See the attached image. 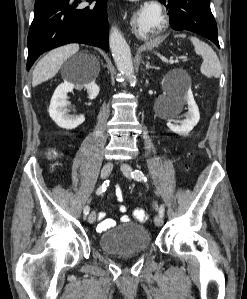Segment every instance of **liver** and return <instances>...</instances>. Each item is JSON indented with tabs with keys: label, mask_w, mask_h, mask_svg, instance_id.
Instances as JSON below:
<instances>
[{
	"label": "liver",
	"mask_w": 247,
	"mask_h": 299,
	"mask_svg": "<svg viewBox=\"0 0 247 299\" xmlns=\"http://www.w3.org/2000/svg\"><path fill=\"white\" fill-rule=\"evenodd\" d=\"M79 50L78 44H68L47 53L35 66L32 73V86L53 78L63 63Z\"/></svg>",
	"instance_id": "1"
}]
</instances>
